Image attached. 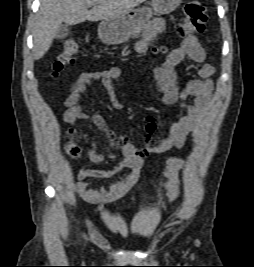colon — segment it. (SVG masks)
I'll return each mask as SVG.
<instances>
[{"label":"colon","mask_w":254,"mask_h":267,"mask_svg":"<svg viewBox=\"0 0 254 267\" xmlns=\"http://www.w3.org/2000/svg\"><path fill=\"white\" fill-rule=\"evenodd\" d=\"M207 20V9L201 1L187 0L183 6V19L177 25V31L182 36L201 33L205 29ZM78 49V41L73 37L67 38L63 42L62 48L52 64V75L54 77L59 76L73 62V57ZM66 150L72 158L80 157L83 152V148L72 141L67 144ZM183 166L184 160L180 158H171L167 162L165 170L166 190L170 202L178 197V172Z\"/></svg>","instance_id":"5ec220e1"}]
</instances>
